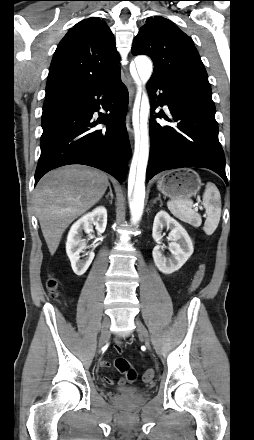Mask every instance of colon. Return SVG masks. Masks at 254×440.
Wrapping results in <instances>:
<instances>
[{
    "instance_id": "5ec220e1",
    "label": "colon",
    "mask_w": 254,
    "mask_h": 440,
    "mask_svg": "<svg viewBox=\"0 0 254 440\" xmlns=\"http://www.w3.org/2000/svg\"><path fill=\"white\" fill-rule=\"evenodd\" d=\"M205 275H206V266L201 265L194 274V277L191 281L189 287V291L191 293L195 292L201 286L205 278ZM46 286L52 297H56L58 295V289L60 286L58 279H56L55 277H50L46 283ZM115 367L119 372L125 374L128 382H134L137 379L136 371L130 366L129 362L126 359L124 358L116 359ZM153 377H154V372L152 370H146L143 375V380L145 382H150L152 381Z\"/></svg>"
}]
</instances>
